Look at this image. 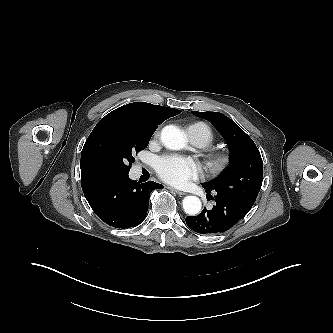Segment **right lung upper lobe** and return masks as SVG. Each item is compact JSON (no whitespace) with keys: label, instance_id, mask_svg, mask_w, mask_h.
<instances>
[{"label":"right lung upper lobe","instance_id":"obj_1","mask_svg":"<svg viewBox=\"0 0 333 333\" xmlns=\"http://www.w3.org/2000/svg\"><path fill=\"white\" fill-rule=\"evenodd\" d=\"M181 111L170 107L153 105L146 102H134L115 109L100 121L120 120L135 129L142 131H155L166 119L179 114ZM81 181L85 182L96 175L85 165L81 159Z\"/></svg>","mask_w":333,"mask_h":333}]
</instances>
